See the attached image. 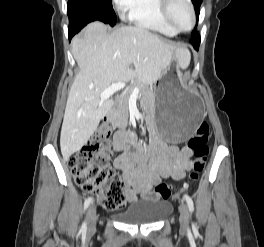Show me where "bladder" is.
Instances as JSON below:
<instances>
[{"mask_svg": "<svg viewBox=\"0 0 264 247\" xmlns=\"http://www.w3.org/2000/svg\"><path fill=\"white\" fill-rule=\"evenodd\" d=\"M171 203L165 199H146L130 205L117 218L124 223L151 224L166 218L171 211Z\"/></svg>", "mask_w": 264, "mask_h": 247, "instance_id": "obj_1", "label": "bladder"}]
</instances>
